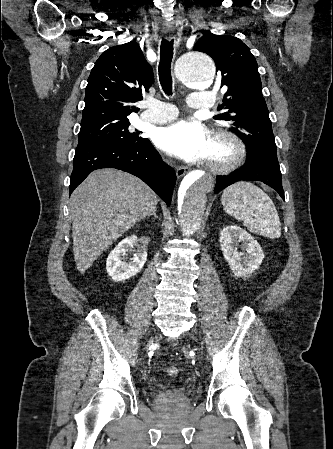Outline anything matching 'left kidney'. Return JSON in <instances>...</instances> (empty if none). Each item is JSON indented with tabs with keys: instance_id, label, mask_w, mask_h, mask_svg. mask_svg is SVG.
Listing matches in <instances>:
<instances>
[{
	"instance_id": "obj_1",
	"label": "left kidney",
	"mask_w": 333,
	"mask_h": 449,
	"mask_svg": "<svg viewBox=\"0 0 333 449\" xmlns=\"http://www.w3.org/2000/svg\"><path fill=\"white\" fill-rule=\"evenodd\" d=\"M220 245L224 258L236 277H247L256 270L264 253L259 243L239 226H226L220 232ZM238 248L246 251L239 252Z\"/></svg>"
}]
</instances>
